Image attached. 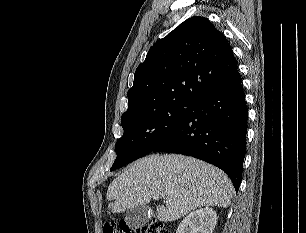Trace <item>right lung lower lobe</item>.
I'll use <instances>...</instances> for the list:
<instances>
[{
  "mask_svg": "<svg viewBox=\"0 0 306 233\" xmlns=\"http://www.w3.org/2000/svg\"><path fill=\"white\" fill-rule=\"evenodd\" d=\"M248 110L241 77L210 95L152 151L179 153L224 170L238 191L246 151Z\"/></svg>",
  "mask_w": 306,
  "mask_h": 233,
  "instance_id": "98d812e1",
  "label": "right lung lower lobe"
}]
</instances>
